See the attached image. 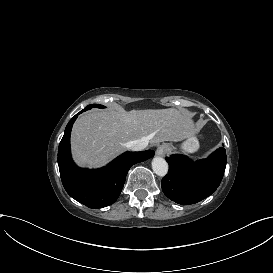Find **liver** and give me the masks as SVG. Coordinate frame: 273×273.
<instances>
[{
	"mask_svg": "<svg viewBox=\"0 0 273 273\" xmlns=\"http://www.w3.org/2000/svg\"><path fill=\"white\" fill-rule=\"evenodd\" d=\"M198 127L193 112L182 108L124 111L107 108L78 118L70 136L71 157L78 168L97 170L126 151L125 143L144 139L149 144L193 140Z\"/></svg>",
	"mask_w": 273,
	"mask_h": 273,
	"instance_id": "6515ba94",
	"label": "liver"
}]
</instances>
